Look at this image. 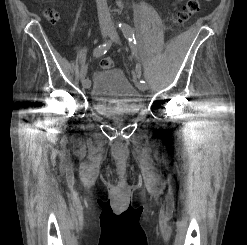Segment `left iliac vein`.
<instances>
[{"label":"left iliac vein","instance_id":"1","mask_svg":"<svg viewBox=\"0 0 247 245\" xmlns=\"http://www.w3.org/2000/svg\"><path fill=\"white\" fill-rule=\"evenodd\" d=\"M110 38L116 43V44H120V39H119V36L116 32V30L112 27L111 28V31H110V34H109ZM138 88L142 91L146 90L147 89V85L143 86V85H140L138 84Z\"/></svg>","mask_w":247,"mask_h":245}]
</instances>
